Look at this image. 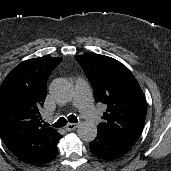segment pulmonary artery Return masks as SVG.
I'll return each instance as SVG.
<instances>
[{
  "mask_svg": "<svg viewBox=\"0 0 171 171\" xmlns=\"http://www.w3.org/2000/svg\"><path fill=\"white\" fill-rule=\"evenodd\" d=\"M73 104L89 122L95 123L99 121L98 112L92 103L89 85L82 79L75 81Z\"/></svg>",
  "mask_w": 171,
  "mask_h": 171,
  "instance_id": "1",
  "label": "pulmonary artery"
}]
</instances>
